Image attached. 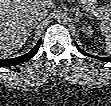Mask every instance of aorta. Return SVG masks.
<instances>
[{
  "label": "aorta",
  "mask_w": 111,
  "mask_h": 106,
  "mask_svg": "<svg viewBox=\"0 0 111 106\" xmlns=\"http://www.w3.org/2000/svg\"><path fill=\"white\" fill-rule=\"evenodd\" d=\"M66 18H67V15L64 11H58V13H57L58 21H64V20H66Z\"/></svg>",
  "instance_id": "obj_1"
}]
</instances>
